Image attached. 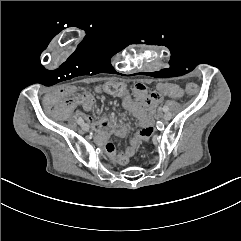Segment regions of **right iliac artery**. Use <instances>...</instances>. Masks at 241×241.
Listing matches in <instances>:
<instances>
[{
	"instance_id": "right-iliac-artery-1",
	"label": "right iliac artery",
	"mask_w": 241,
	"mask_h": 241,
	"mask_svg": "<svg viewBox=\"0 0 241 241\" xmlns=\"http://www.w3.org/2000/svg\"><path fill=\"white\" fill-rule=\"evenodd\" d=\"M77 122L79 125H82L84 123V121L81 117L78 118Z\"/></svg>"
}]
</instances>
